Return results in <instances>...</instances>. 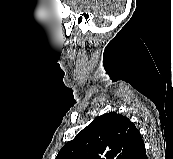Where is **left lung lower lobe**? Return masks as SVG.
<instances>
[{"label":"left lung lower lobe","instance_id":"left-lung-lower-lobe-1","mask_svg":"<svg viewBox=\"0 0 173 159\" xmlns=\"http://www.w3.org/2000/svg\"><path fill=\"white\" fill-rule=\"evenodd\" d=\"M129 159H147L144 142L139 146V148Z\"/></svg>","mask_w":173,"mask_h":159}]
</instances>
